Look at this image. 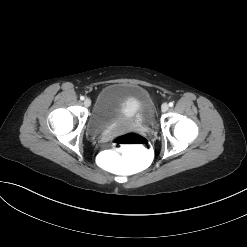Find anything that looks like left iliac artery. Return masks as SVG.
<instances>
[{
    "instance_id": "left-iliac-artery-1",
    "label": "left iliac artery",
    "mask_w": 247,
    "mask_h": 247,
    "mask_svg": "<svg viewBox=\"0 0 247 247\" xmlns=\"http://www.w3.org/2000/svg\"><path fill=\"white\" fill-rule=\"evenodd\" d=\"M173 105H174L173 102H170V103H169V106H170V107H173Z\"/></svg>"
}]
</instances>
